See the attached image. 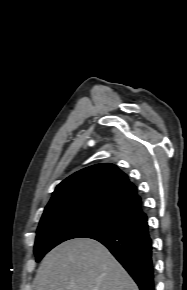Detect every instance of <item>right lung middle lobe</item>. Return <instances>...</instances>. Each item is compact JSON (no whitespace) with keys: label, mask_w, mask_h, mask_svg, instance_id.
<instances>
[{"label":"right lung middle lobe","mask_w":187,"mask_h":290,"mask_svg":"<svg viewBox=\"0 0 187 290\" xmlns=\"http://www.w3.org/2000/svg\"><path fill=\"white\" fill-rule=\"evenodd\" d=\"M130 222L116 212L99 206H80L42 216L35 241L36 261L63 241L115 230Z\"/></svg>","instance_id":"1"}]
</instances>
